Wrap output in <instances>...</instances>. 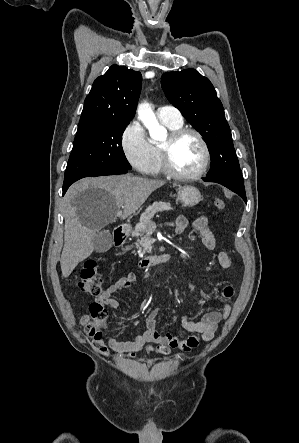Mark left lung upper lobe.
<instances>
[{
  "mask_svg": "<svg viewBox=\"0 0 299 443\" xmlns=\"http://www.w3.org/2000/svg\"><path fill=\"white\" fill-rule=\"evenodd\" d=\"M161 84L167 99L207 142L211 155L208 177L243 180L222 103L209 79L185 69L164 73Z\"/></svg>",
  "mask_w": 299,
  "mask_h": 443,
  "instance_id": "obj_1",
  "label": "left lung upper lobe"
}]
</instances>
